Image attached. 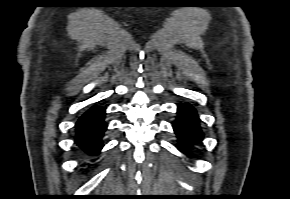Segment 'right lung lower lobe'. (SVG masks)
Returning <instances> with one entry per match:
<instances>
[{"instance_id": "98d812e1", "label": "right lung lower lobe", "mask_w": 290, "mask_h": 199, "mask_svg": "<svg viewBox=\"0 0 290 199\" xmlns=\"http://www.w3.org/2000/svg\"><path fill=\"white\" fill-rule=\"evenodd\" d=\"M104 116L105 110L103 108L93 106L77 121L76 142L90 154L98 153L103 147L101 138L107 128Z\"/></svg>"}]
</instances>
